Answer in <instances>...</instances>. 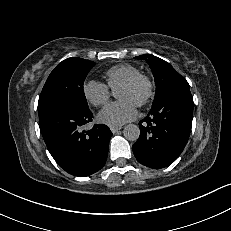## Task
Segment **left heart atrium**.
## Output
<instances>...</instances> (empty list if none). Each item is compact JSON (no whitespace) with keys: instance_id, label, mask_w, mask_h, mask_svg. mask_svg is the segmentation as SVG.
Wrapping results in <instances>:
<instances>
[{"instance_id":"left-heart-atrium-1","label":"left heart atrium","mask_w":231,"mask_h":231,"mask_svg":"<svg viewBox=\"0 0 231 231\" xmlns=\"http://www.w3.org/2000/svg\"><path fill=\"white\" fill-rule=\"evenodd\" d=\"M137 116L136 105L121 99L107 105L99 114L98 121L110 127H120Z\"/></svg>"}]
</instances>
